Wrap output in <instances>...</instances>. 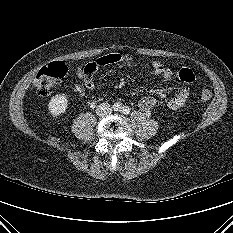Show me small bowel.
Listing matches in <instances>:
<instances>
[{"label":"small bowel","instance_id":"obj_1","mask_svg":"<svg viewBox=\"0 0 233 233\" xmlns=\"http://www.w3.org/2000/svg\"><path fill=\"white\" fill-rule=\"evenodd\" d=\"M131 60H132V55L129 53H110L99 57L98 59H96L94 62L91 63H93L95 66V70H94L95 72L101 66L129 62ZM151 68L153 75L161 76L165 80H171L174 83L182 86L179 92L168 100L167 106L172 110H179L183 108L189 96L188 84L190 83L185 80L183 75L186 72L189 73L192 72L187 68H182L174 72L172 69L168 68L159 61H153L151 64ZM92 74L85 76L84 78V86L88 90H94L95 88V83L93 81ZM156 104H157L156 98H154L153 96H146L139 100L138 107L144 112H150L156 106Z\"/></svg>","mask_w":233,"mask_h":233}]
</instances>
